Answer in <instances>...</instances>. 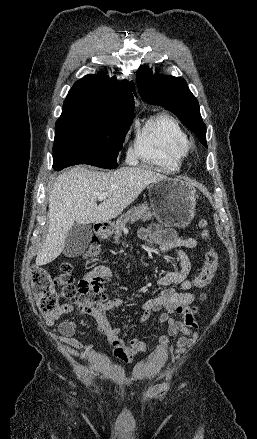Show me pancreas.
<instances>
[{
  "instance_id": "obj_1",
  "label": "pancreas",
  "mask_w": 257,
  "mask_h": 439,
  "mask_svg": "<svg viewBox=\"0 0 257 439\" xmlns=\"http://www.w3.org/2000/svg\"><path fill=\"white\" fill-rule=\"evenodd\" d=\"M153 216H155V213L150 210V207L147 203L130 208L116 221L115 242H119L122 231L125 229L126 223H133L137 220L149 221L152 219Z\"/></svg>"
}]
</instances>
